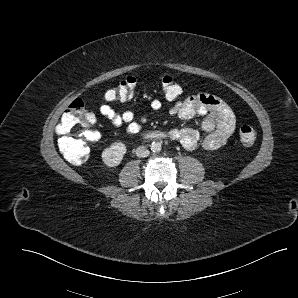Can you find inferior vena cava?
Returning <instances> with one entry per match:
<instances>
[{"mask_svg":"<svg viewBox=\"0 0 298 298\" xmlns=\"http://www.w3.org/2000/svg\"><path fill=\"white\" fill-rule=\"evenodd\" d=\"M135 154L137 157L144 158L149 155V150L144 146H138L135 150Z\"/></svg>","mask_w":298,"mask_h":298,"instance_id":"1","label":"inferior vena cava"}]
</instances>
